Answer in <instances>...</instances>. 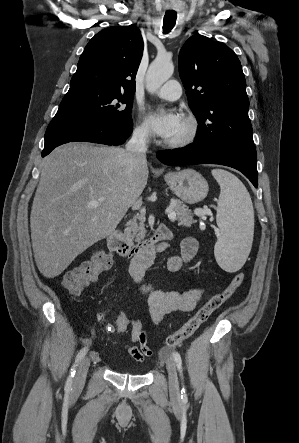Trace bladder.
Listing matches in <instances>:
<instances>
[{"label": "bladder", "mask_w": 299, "mask_h": 443, "mask_svg": "<svg viewBox=\"0 0 299 443\" xmlns=\"http://www.w3.org/2000/svg\"><path fill=\"white\" fill-rule=\"evenodd\" d=\"M115 366H116L117 372H123V370H122L123 367H122L121 363H117ZM141 372L142 371L140 369H134L130 373L135 374V375H139V374H141Z\"/></svg>", "instance_id": "obj_1"}]
</instances>
